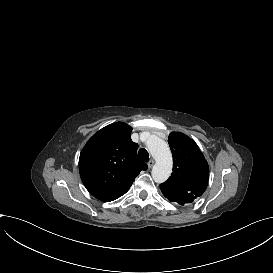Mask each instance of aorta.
<instances>
[{
    "instance_id": "obj_1",
    "label": "aorta",
    "mask_w": 273,
    "mask_h": 273,
    "mask_svg": "<svg viewBox=\"0 0 273 273\" xmlns=\"http://www.w3.org/2000/svg\"><path fill=\"white\" fill-rule=\"evenodd\" d=\"M147 147L156 161L151 172L152 178L157 183H163L172 172L173 161L170 148L164 140L156 136H151L148 139Z\"/></svg>"
}]
</instances>
